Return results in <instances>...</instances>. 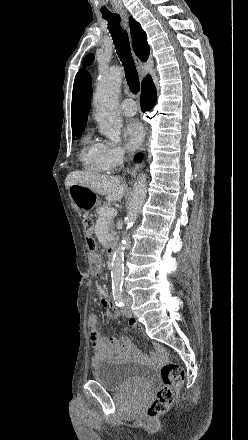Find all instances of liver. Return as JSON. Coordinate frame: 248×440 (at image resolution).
<instances>
[{
    "mask_svg": "<svg viewBox=\"0 0 248 440\" xmlns=\"http://www.w3.org/2000/svg\"><path fill=\"white\" fill-rule=\"evenodd\" d=\"M75 184L89 188L96 194L105 195L106 200L113 202L120 201L127 190V185L121 183L120 178L117 176L83 171H73L66 177V189Z\"/></svg>",
    "mask_w": 248,
    "mask_h": 440,
    "instance_id": "1",
    "label": "liver"
}]
</instances>
